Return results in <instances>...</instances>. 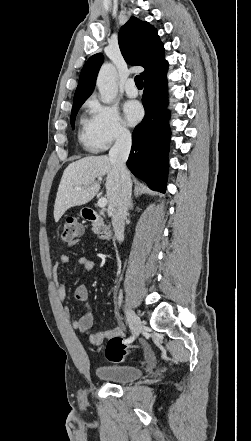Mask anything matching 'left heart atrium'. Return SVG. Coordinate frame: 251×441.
<instances>
[{
	"mask_svg": "<svg viewBox=\"0 0 251 441\" xmlns=\"http://www.w3.org/2000/svg\"><path fill=\"white\" fill-rule=\"evenodd\" d=\"M125 118L130 125L139 122L143 116V109L139 102L128 101L123 107Z\"/></svg>",
	"mask_w": 251,
	"mask_h": 441,
	"instance_id": "left-heart-atrium-1",
	"label": "left heart atrium"
}]
</instances>
